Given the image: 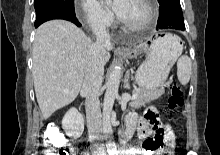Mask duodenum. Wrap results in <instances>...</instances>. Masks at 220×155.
Instances as JSON below:
<instances>
[{
  "instance_id": "410a0bca",
  "label": "duodenum",
  "mask_w": 220,
  "mask_h": 155,
  "mask_svg": "<svg viewBox=\"0 0 220 155\" xmlns=\"http://www.w3.org/2000/svg\"><path fill=\"white\" fill-rule=\"evenodd\" d=\"M128 131H129V128L126 124L125 127L120 130L121 137L126 138L128 135Z\"/></svg>"
}]
</instances>
